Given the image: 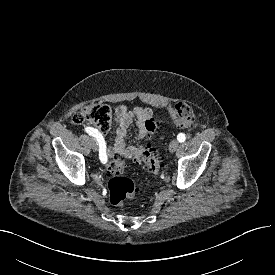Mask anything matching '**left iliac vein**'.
Segmentation results:
<instances>
[{"label": "left iliac vein", "mask_w": 275, "mask_h": 275, "mask_svg": "<svg viewBox=\"0 0 275 275\" xmlns=\"http://www.w3.org/2000/svg\"><path fill=\"white\" fill-rule=\"evenodd\" d=\"M178 145L179 143L177 140H172L169 145L170 152H175L178 149Z\"/></svg>", "instance_id": "left-iliac-vein-1"}]
</instances>
